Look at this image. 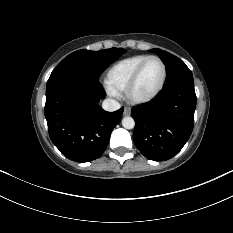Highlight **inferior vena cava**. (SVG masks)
I'll return each mask as SVG.
<instances>
[{
    "mask_svg": "<svg viewBox=\"0 0 233 233\" xmlns=\"http://www.w3.org/2000/svg\"><path fill=\"white\" fill-rule=\"evenodd\" d=\"M102 108L108 112H113L120 108V104L114 99H105Z\"/></svg>",
    "mask_w": 233,
    "mask_h": 233,
    "instance_id": "602c4592",
    "label": "inferior vena cava"
}]
</instances>
